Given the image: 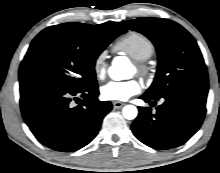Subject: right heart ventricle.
<instances>
[{"mask_svg": "<svg viewBox=\"0 0 220 173\" xmlns=\"http://www.w3.org/2000/svg\"><path fill=\"white\" fill-rule=\"evenodd\" d=\"M113 50L129 56L135 61H144L153 54L154 44L144 34L130 31L114 44Z\"/></svg>", "mask_w": 220, "mask_h": 173, "instance_id": "obj_1", "label": "right heart ventricle"}]
</instances>
